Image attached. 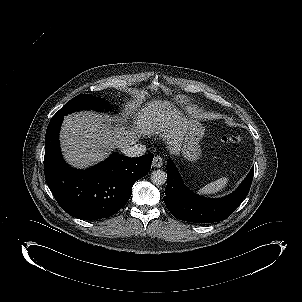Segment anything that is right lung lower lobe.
I'll return each mask as SVG.
<instances>
[{
  "label": "right lung lower lobe",
  "mask_w": 302,
  "mask_h": 302,
  "mask_svg": "<svg viewBox=\"0 0 302 302\" xmlns=\"http://www.w3.org/2000/svg\"><path fill=\"white\" fill-rule=\"evenodd\" d=\"M63 117L51 119L45 136L44 172L49 189L64 211L84 220L108 218L132 194L133 184L151 169L153 153L137 158L114 153L87 170L69 167L59 147Z\"/></svg>",
  "instance_id": "obj_1"
}]
</instances>
